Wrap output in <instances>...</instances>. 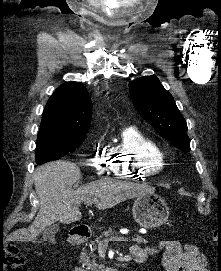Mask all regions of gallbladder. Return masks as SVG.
Listing matches in <instances>:
<instances>
[{"label": "gallbladder", "mask_w": 221, "mask_h": 271, "mask_svg": "<svg viewBox=\"0 0 221 271\" xmlns=\"http://www.w3.org/2000/svg\"><path fill=\"white\" fill-rule=\"evenodd\" d=\"M57 231H59V225H56V223L48 225L42 233L43 241H52V239H55V233H57Z\"/></svg>", "instance_id": "gallbladder-1"}]
</instances>
